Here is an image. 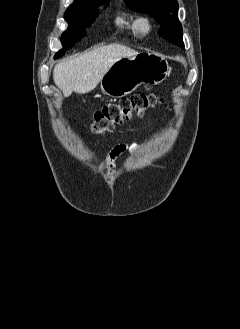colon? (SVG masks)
I'll return each instance as SVG.
<instances>
[{
	"label": "colon",
	"instance_id": "5ec220e1",
	"mask_svg": "<svg viewBox=\"0 0 240 329\" xmlns=\"http://www.w3.org/2000/svg\"><path fill=\"white\" fill-rule=\"evenodd\" d=\"M160 99L153 94H136L123 98L117 104H109L95 113L93 128L97 132L113 131L117 124L132 119L134 115H142L153 107Z\"/></svg>",
	"mask_w": 240,
	"mask_h": 329
}]
</instances>
